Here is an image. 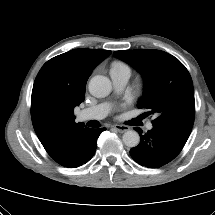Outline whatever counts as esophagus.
I'll return each mask as SVG.
<instances>
[{
	"label": "esophagus",
	"instance_id": "1",
	"mask_svg": "<svg viewBox=\"0 0 215 215\" xmlns=\"http://www.w3.org/2000/svg\"><path fill=\"white\" fill-rule=\"evenodd\" d=\"M113 128L120 133H124L130 129L126 125H119V124L113 125Z\"/></svg>",
	"mask_w": 215,
	"mask_h": 215
}]
</instances>
